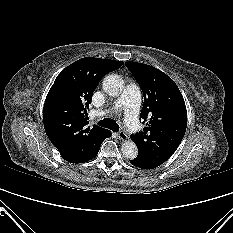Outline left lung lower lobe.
Here are the masks:
<instances>
[{
	"mask_svg": "<svg viewBox=\"0 0 233 233\" xmlns=\"http://www.w3.org/2000/svg\"><path fill=\"white\" fill-rule=\"evenodd\" d=\"M134 166L142 168V169H153L156 168L158 165L140 157L137 156L135 159H132L130 161Z\"/></svg>",
	"mask_w": 233,
	"mask_h": 233,
	"instance_id": "left-lung-lower-lobe-1",
	"label": "left lung lower lobe"
}]
</instances>
